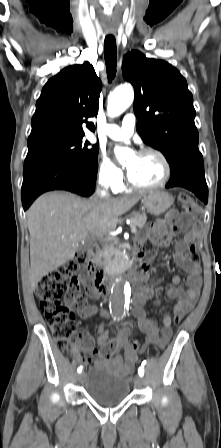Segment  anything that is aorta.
Returning <instances> with one entry per match:
<instances>
[{"instance_id":"762f6f07","label":"aorta","mask_w":221,"mask_h":448,"mask_svg":"<svg viewBox=\"0 0 221 448\" xmlns=\"http://www.w3.org/2000/svg\"><path fill=\"white\" fill-rule=\"evenodd\" d=\"M133 99L134 91L131 85L125 84L117 87L108 100L107 110L109 116L115 117L123 113L132 104ZM114 153L117 160L123 164L125 163L126 157L130 154V151L127 148L116 146ZM123 292V287L114 290V294L119 297L123 296Z\"/></svg>"}]
</instances>
